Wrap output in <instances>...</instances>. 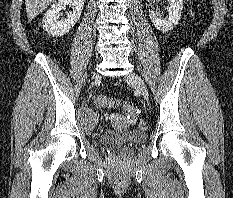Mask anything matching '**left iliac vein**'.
<instances>
[{
    "label": "left iliac vein",
    "mask_w": 233,
    "mask_h": 198,
    "mask_svg": "<svg viewBox=\"0 0 233 198\" xmlns=\"http://www.w3.org/2000/svg\"><path fill=\"white\" fill-rule=\"evenodd\" d=\"M125 79L141 93L144 99H148L149 93L147 86L144 80L138 74H136L134 71H130L125 76Z\"/></svg>",
    "instance_id": "4c4485c4"
}]
</instances>
